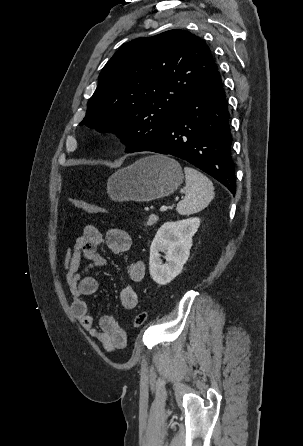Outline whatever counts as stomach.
<instances>
[{
	"label": "stomach",
	"instance_id": "obj_1",
	"mask_svg": "<svg viewBox=\"0 0 303 446\" xmlns=\"http://www.w3.org/2000/svg\"><path fill=\"white\" fill-rule=\"evenodd\" d=\"M180 164L163 155L141 158L112 174L107 191L115 202H146L172 194L183 182Z\"/></svg>",
	"mask_w": 303,
	"mask_h": 446
}]
</instances>
